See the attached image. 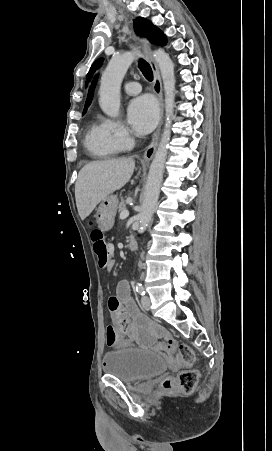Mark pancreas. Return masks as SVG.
Masks as SVG:
<instances>
[{"label": "pancreas", "instance_id": "pancreas-1", "mask_svg": "<svg viewBox=\"0 0 272 451\" xmlns=\"http://www.w3.org/2000/svg\"><path fill=\"white\" fill-rule=\"evenodd\" d=\"M126 210L125 200H122L121 204L118 206V212H124Z\"/></svg>", "mask_w": 272, "mask_h": 451}]
</instances>
